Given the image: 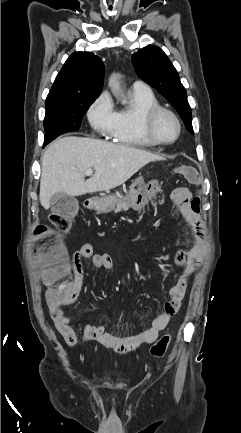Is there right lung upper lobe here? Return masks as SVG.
Masks as SVG:
<instances>
[{
    "label": "right lung upper lobe",
    "mask_w": 241,
    "mask_h": 433,
    "mask_svg": "<svg viewBox=\"0 0 241 433\" xmlns=\"http://www.w3.org/2000/svg\"><path fill=\"white\" fill-rule=\"evenodd\" d=\"M104 73V64L98 56L73 53L57 75L46 102L96 99L103 87Z\"/></svg>",
    "instance_id": "right-lung-upper-lobe-1"
}]
</instances>
